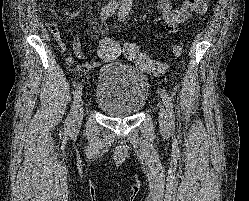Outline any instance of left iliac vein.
<instances>
[{
    "label": "left iliac vein",
    "mask_w": 249,
    "mask_h": 201,
    "mask_svg": "<svg viewBox=\"0 0 249 201\" xmlns=\"http://www.w3.org/2000/svg\"><path fill=\"white\" fill-rule=\"evenodd\" d=\"M159 125L162 131H167L169 129V119L164 106L160 107Z\"/></svg>",
    "instance_id": "4c4485c4"
}]
</instances>
